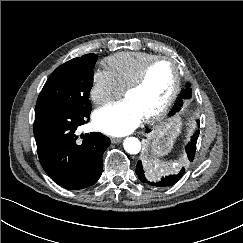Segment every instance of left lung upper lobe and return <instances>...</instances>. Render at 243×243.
I'll return each instance as SVG.
<instances>
[{
	"instance_id": "obj_1",
	"label": "left lung upper lobe",
	"mask_w": 243,
	"mask_h": 243,
	"mask_svg": "<svg viewBox=\"0 0 243 243\" xmlns=\"http://www.w3.org/2000/svg\"><path fill=\"white\" fill-rule=\"evenodd\" d=\"M186 90L182 94V98H190L191 97V89H190V84H187Z\"/></svg>"
}]
</instances>
